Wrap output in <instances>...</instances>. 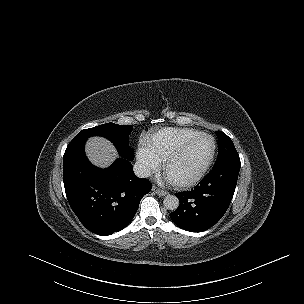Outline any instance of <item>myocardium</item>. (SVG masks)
<instances>
[{"label": "myocardium", "instance_id": "f54148a6", "mask_svg": "<svg viewBox=\"0 0 304 304\" xmlns=\"http://www.w3.org/2000/svg\"><path fill=\"white\" fill-rule=\"evenodd\" d=\"M210 138L212 140V152L208 158V160L206 161V163L204 164V166L200 169V171L195 174L193 177L189 178V179H184V180H179V181H173L171 179V183H173L175 186L179 187V188H184V187H190L194 184H196L197 182H199L207 173V171L209 170L211 164L213 163L215 154H216V140L215 138L208 134V133H200L199 135L191 138L190 140H188L187 142H185L184 144H182L180 147H178L176 150H174L167 158L164 164V171L166 176L170 179V177L168 176V171H169V167L171 165V163L177 158L179 157L181 154H183L192 144H194L195 142H197L198 140L202 139V138Z\"/></svg>", "mask_w": 304, "mask_h": 304}]
</instances>
